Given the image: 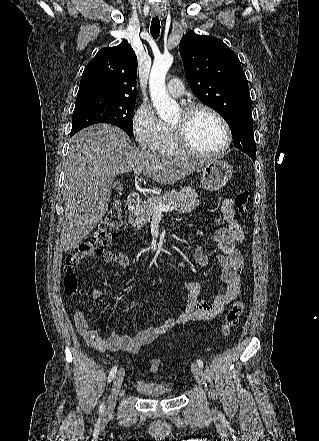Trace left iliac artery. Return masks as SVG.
I'll list each match as a JSON object with an SVG mask.
<instances>
[{
  "label": "left iliac artery",
  "instance_id": "left-iliac-artery-1",
  "mask_svg": "<svg viewBox=\"0 0 319 441\" xmlns=\"http://www.w3.org/2000/svg\"><path fill=\"white\" fill-rule=\"evenodd\" d=\"M197 364H198L200 367H203V361H202L201 359H197Z\"/></svg>",
  "mask_w": 319,
  "mask_h": 441
}]
</instances>
